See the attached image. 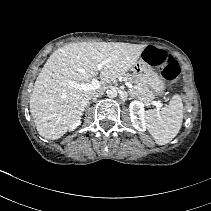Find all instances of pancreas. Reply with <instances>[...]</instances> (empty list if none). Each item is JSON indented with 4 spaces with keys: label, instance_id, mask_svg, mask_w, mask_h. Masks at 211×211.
<instances>
[{
    "label": "pancreas",
    "instance_id": "cf45deb5",
    "mask_svg": "<svg viewBox=\"0 0 211 211\" xmlns=\"http://www.w3.org/2000/svg\"><path fill=\"white\" fill-rule=\"evenodd\" d=\"M122 78L123 80L134 84L133 88L130 89V92L144 103L148 104L155 98V95L149 87L145 83L139 81L133 74H123Z\"/></svg>",
    "mask_w": 211,
    "mask_h": 211
}]
</instances>
